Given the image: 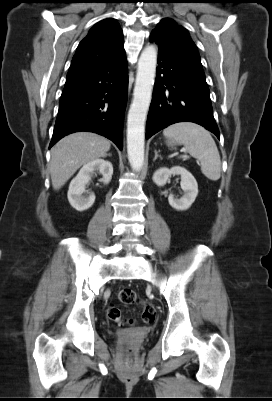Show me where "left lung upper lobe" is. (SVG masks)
<instances>
[{
	"instance_id": "5c2ea615",
	"label": "left lung upper lobe",
	"mask_w": 272,
	"mask_h": 401,
	"mask_svg": "<svg viewBox=\"0 0 272 401\" xmlns=\"http://www.w3.org/2000/svg\"><path fill=\"white\" fill-rule=\"evenodd\" d=\"M163 44L171 49L200 61L196 45L189 36L188 31L170 18H164L151 32Z\"/></svg>"
}]
</instances>
